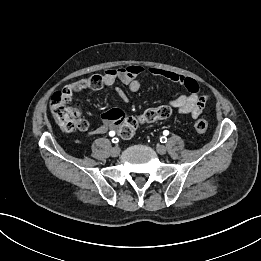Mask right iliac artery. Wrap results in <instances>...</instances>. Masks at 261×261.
Listing matches in <instances>:
<instances>
[{
  "instance_id": "1",
  "label": "right iliac artery",
  "mask_w": 261,
  "mask_h": 261,
  "mask_svg": "<svg viewBox=\"0 0 261 261\" xmlns=\"http://www.w3.org/2000/svg\"><path fill=\"white\" fill-rule=\"evenodd\" d=\"M110 136H114L115 135V132L114 131H110ZM119 142V140H118V138H113L112 139V143H118Z\"/></svg>"
}]
</instances>
